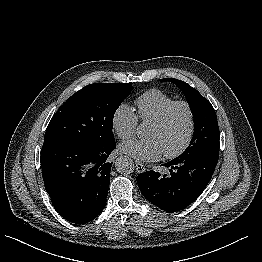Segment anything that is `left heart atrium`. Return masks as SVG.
<instances>
[{
    "mask_svg": "<svg viewBox=\"0 0 262 262\" xmlns=\"http://www.w3.org/2000/svg\"><path fill=\"white\" fill-rule=\"evenodd\" d=\"M119 151L138 161H156L164 153L154 138L131 139L119 145Z\"/></svg>",
    "mask_w": 262,
    "mask_h": 262,
    "instance_id": "obj_1",
    "label": "left heart atrium"
}]
</instances>
